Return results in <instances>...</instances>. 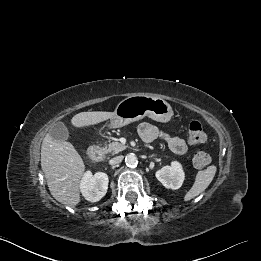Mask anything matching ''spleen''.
Wrapping results in <instances>:
<instances>
[{
	"label": "spleen",
	"mask_w": 261,
	"mask_h": 261,
	"mask_svg": "<svg viewBox=\"0 0 261 261\" xmlns=\"http://www.w3.org/2000/svg\"><path fill=\"white\" fill-rule=\"evenodd\" d=\"M216 166L212 165L207 167L205 170H201L197 173L195 182L191 189L186 193L184 200L189 201L196 196H198L200 193H202L212 182L215 173H216Z\"/></svg>",
	"instance_id": "3e777b00"
}]
</instances>
